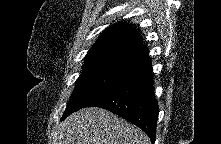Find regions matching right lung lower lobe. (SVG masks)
Instances as JSON below:
<instances>
[{
    "label": "right lung lower lobe",
    "mask_w": 221,
    "mask_h": 144,
    "mask_svg": "<svg viewBox=\"0 0 221 144\" xmlns=\"http://www.w3.org/2000/svg\"><path fill=\"white\" fill-rule=\"evenodd\" d=\"M96 106L122 116L155 141L159 108L154 95L150 57L147 56L119 82L93 98L85 107Z\"/></svg>",
    "instance_id": "right-lung-lower-lobe-1"
}]
</instances>
